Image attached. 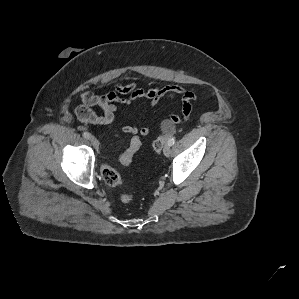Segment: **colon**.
I'll list each match as a JSON object with an SVG mask.
<instances>
[{
	"instance_id": "obj_1",
	"label": "colon",
	"mask_w": 299,
	"mask_h": 299,
	"mask_svg": "<svg viewBox=\"0 0 299 299\" xmlns=\"http://www.w3.org/2000/svg\"><path fill=\"white\" fill-rule=\"evenodd\" d=\"M165 129L167 132L155 139L152 143V148L156 153H160L165 142L168 138L174 133V130L171 128L170 124H166ZM142 145V140L139 135H134L131 137L127 148L120 156V162L123 165H129L132 162L133 157L139 151ZM101 175L104 182L109 186H119L122 184V178L118 171L110 166H104L101 170ZM123 202H129L132 199V195L124 193L121 196Z\"/></svg>"
}]
</instances>
